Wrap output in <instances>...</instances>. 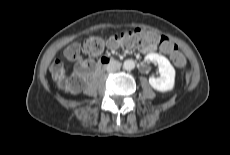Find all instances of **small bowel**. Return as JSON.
Segmentation results:
<instances>
[{"mask_svg":"<svg viewBox=\"0 0 230 155\" xmlns=\"http://www.w3.org/2000/svg\"><path fill=\"white\" fill-rule=\"evenodd\" d=\"M110 50H115L117 48H119L118 46H115V47H111L109 46L108 47ZM156 49V46L155 45H149V46H146V47H142L141 50L143 53H151L153 52L154 50Z\"/></svg>","mask_w":230,"mask_h":155,"instance_id":"small-bowel-1","label":"small bowel"}]
</instances>
